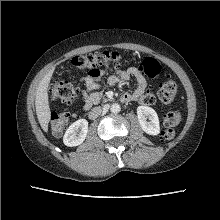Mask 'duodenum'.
Here are the masks:
<instances>
[{
	"instance_id": "410a0bca",
	"label": "duodenum",
	"mask_w": 220,
	"mask_h": 220,
	"mask_svg": "<svg viewBox=\"0 0 220 220\" xmlns=\"http://www.w3.org/2000/svg\"><path fill=\"white\" fill-rule=\"evenodd\" d=\"M122 101L124 102H129L130 101V98L129 97H124L122 98ZM102 106H99V107H95L93 108L90 112H89V118L90 119H96L102 112Z\"/></svg>"
}]
</instances>
